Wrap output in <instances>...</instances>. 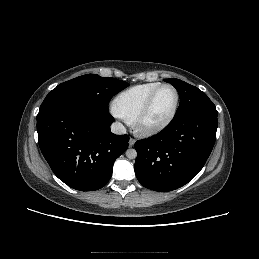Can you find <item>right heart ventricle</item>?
Listing matches in <instances>:
<instances>
[{
	"label": "right heart ventricle",
	"mask_w": 259,
	"mask_h": 259,
	"mask_svg": "<svg viewBox=\"0 0 259 259\" xmlns=\"http://www.w3.org/2000/svg\"><path fill=\"white\" fill-rule=\"evenodd\" d=\"M160 84L159 82H149L122 91L114 100L115 111L128 123H134L150 94Z\"/></svg>",
	"instance_id": "1"
}]
</instances>
